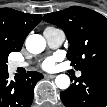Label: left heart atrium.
Here are the masks:
<instances>
[{
	"mask_svg": "<svg viewBox=\"0 0 107 107\" xmlns=\"http://www.w3.org/2000/svg\"><path fill=\"white\" fill-rule=\"evenodd\" d=\"M56 61H57V57L56 56L46 58L42 62L43 69H45V70H51V69H53L55 67Z\"/></svg>",
	"mask_w": 107,
	"mask_h": 107,
	"instance_id": "obj_1",
	"label": "left heart atrium"
}]
</instances>
